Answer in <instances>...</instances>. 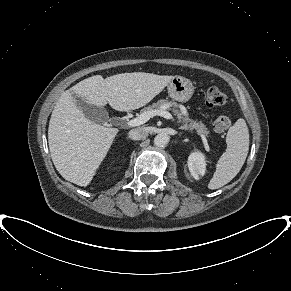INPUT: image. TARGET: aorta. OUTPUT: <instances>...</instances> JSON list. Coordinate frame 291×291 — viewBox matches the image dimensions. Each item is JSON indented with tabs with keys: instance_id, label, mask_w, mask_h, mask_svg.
Returning <instances> with one entry per match:
<instances>
[{
	"instance_id": "aorta-1",
	"label": "aorta",
	"mask_w": 291,
	"mask_h": 291,
	"mask_svg": "<svg viewBox=\"0 0 291 291\" xmlns=\"http://www.w3.org/2000/svg\"><path fill=\"white\" fill-rule=\"evenodd\" d=\"M169 135L166 133H160L155 136L154 138V144L158 147H164L168 144L169 142Z\"/></svg>"
}]
</instances>
